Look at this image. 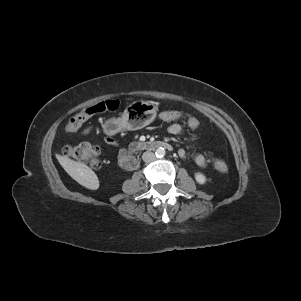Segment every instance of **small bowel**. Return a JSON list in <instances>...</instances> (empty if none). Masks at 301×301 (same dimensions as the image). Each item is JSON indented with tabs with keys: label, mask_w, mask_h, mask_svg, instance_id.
Here are the masks:
<instances>
[{
	"label": "small bowel",
	"mask_w": 301,
	"mask_h": 301,
	"mask_svg": "<svg viewBox=\"0 0 301 301\" xmlns=\"http://www.w3.org/2000/svg\"><path fill=\"white\" fill-rule=\"evenodd\" d=\"M166 114H164L163 112L160 113L159 117L161 120L165 121V122H169V125L167 127V132L171 135H177L180 134L182 131V126L177 123L176 121L179 119H169L165 116ZM92 127L91 126H87L85 128H83L80 131L81 135H86L91 131ZM104 142L108 145L114 146L117 148V156H118V162L120 163L121 159L125 156L126 151L123 147H121L113 138H111L110 136H105L103 138ZM178 155L181 158H185L187 153L184 149H180L178 152ZM193 161L194 163L201 167V168H205L207 166V160L206 158L201 155V154H195L193 156Z\"/></svg>",
	"instance_id": "small-bowel-1"
}]
</instances>
